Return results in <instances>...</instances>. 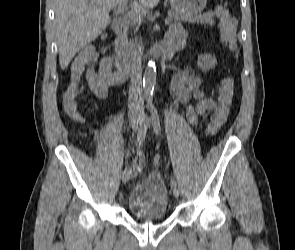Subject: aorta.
<instances>
[{
	"instance_id": "762f6f07",
	"label": "aorta",
	"mask_w": 295,
	"mask_h": 250,
	"mask_svg": "<svg viewBox=\"0 0 295 250\" xmlns=\"http://www.w3.org/2000/svg\"><path fill=\"white\" fill-rule=\"evenodd\" d=\"M156 83V65L155 62L149 61L148 66L145 69L143 77V91L144 97L149 103L152 101L154 86Z\"/></svg>"
}]
</instances>
